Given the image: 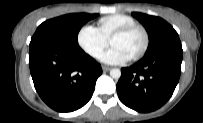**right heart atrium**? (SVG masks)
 Listing matches in <instances>:
<instances>
[{
    "instance_id": "right-heart-atrium-1",
    "label": "right heart atrium",
    "mask_w": 203,
    "mask_h": 123,
    "mask_svg": "<svg viewBox=\"0 0 203 123\" xmlns=\"http://www.w3.org/2000/svg\"><path fill=\"white\" fill-rule=\"evenodd\" d=\"M78 45L91 57L100 58L109 44V40L99 28L93 25H84L77 34Z\"/></svg>"
}]
</instances>
